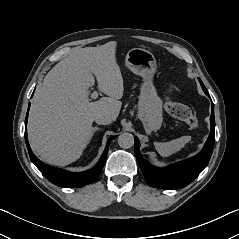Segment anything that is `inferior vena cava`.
<instances>
[{
	"label": "inferior vena cava",
	"mask_w": 239,
	"mask_h": 239,
	"mask_svg": "<svg viewBox=\"0 0 239 239\" xmlns=\"http://www.w3.org/2000/svg\"><path fill=\"white\" fill-rule=\"evenodd\" d=\"M94 121L99 125H108L112 122V118L109 113H99L95 116Z\"/></svg>",
	"instance_id": "602c4592"
}]
</instances>
